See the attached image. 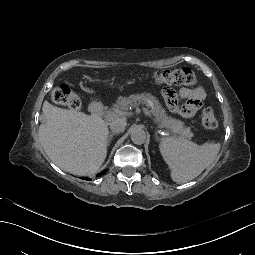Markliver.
Segmentation results:
<instances>
[{
    "label": "liver",
    "instance_id": "obj_1",
    "mask_svg": "<svg viewBox=\"0 0 255 255\" xmlns=\"http://www.w3.org/2000/svg\"><path fill=\"white\" fill-rule=\"evenodd\" d=\"M39 140L59 168L75 175L99 170L107 154L108 124L100 117L43 103ZM119 120L126 122V118Z\"/></svg>",
    "mask_w": 255,
    "mask_h": 255
}]
</instances>
